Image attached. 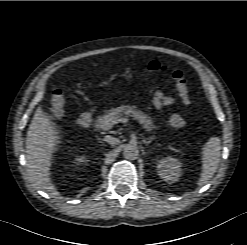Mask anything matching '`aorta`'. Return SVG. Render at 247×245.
<instances>
[{"label":"aorta","instance_id":"1","mask_svg":"<svg viewBox=\"0 0 247 245\" xmlns=\"http://www.w3.org/2000/svg\"><path fill=\"white\" fill-rule=\"evenodd\" d=\"M139 155V150L136 145L128 144L124 147L123 156L128 160H135Z\"/></svg>","mask_w":247,"mask_h":245}]
</instances>
